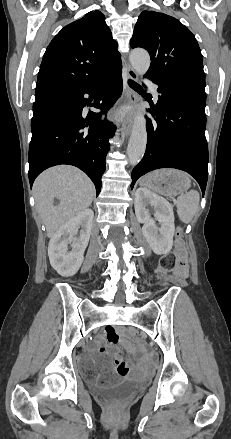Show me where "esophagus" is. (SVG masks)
Instances as JSON below:
<instances>
[{"instance_id": "34e87169", "label": "esophagus", "mask_w": 231, "mask_h": 439, "mask_svg": "<svg viewBox=\"0 0 231 439\" xmlns=\"http://www.w3.org/2000/svg\"><path fill=\"white\" fill-rule=\"evenodd\" d=\"M137 78H138L137 73L132 68H128L126 78L124 79V92H125V100L130 105L134 104L137 101V94L133 89H131L128 86L127 81L128 80L136 81ZM120 120L122 123L121 130L127 136L131 131L132 116L131 114L125 115L121 113Z\"/></svg>"}]
</instances>
